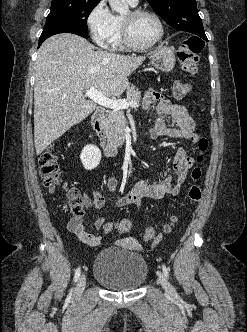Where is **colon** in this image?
<instances>
[{
	"label": "colon",
	"mask_w": 247,
	"mask_h": 332,
	"mask_svg": "<svg viewBox=\"0 0 247 332\" xmlns=\"http://www.w3.org/2000/svg\"><path fill=\"white\" fill-rule=\"evenodd\" d=\"M204 48V41L196 36L187 38L180 46L178 51V58L181 68L189 75H196L198 72L199 54ZM191 90V84L184 81H176L172 86V93L176 99H182ZM198 147L201 154L197 157L198 162H202L203 153L208 149V140L201 137L198 141ZM39 173L43 180L44 186L50 191L55 192L62 184L59 165L57 162V154L51 147L44 151L39 158ZM202 176V171L199 166L193 168L191 172L192 182L188 189V199L192 203L199 202L202 197V189L199 180ZM70 201L69 210L74 218H80L84 214L83 200L81 195L70 190L67 194ZM178 218L172 216L170 222L165 226V231L170 232L177 223ZM132 222L129 219H122L116 223L109 222L104 226L106 233L118 231L120 233H128L132 229ZM160 235L154 228H146L143 232V239L145 241H156Z\"/></svg>",
	"instance_id": "colon-1"
}]
</instances>
